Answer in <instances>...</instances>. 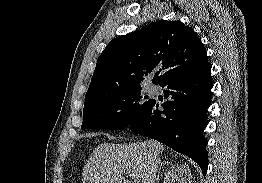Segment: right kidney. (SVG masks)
Returning <instances> with one entry per match:
<instances>
[{
	"label": "right kidney",
	"mask_w": 262,
	"mask_h": 183,
	"mask_svg": "<svg viewBox=\"0 0 262 183\" xmlns=\"http://www.w3.org/2000/svg\"><path fill=\"white\" fill-rule=\"evenodd\" d=\"M192 183V174L189 166L185 164L174 165L165 174L164 183Z\"/></svg>",
	"instance_id": "ca27d5eb"
}]
</instances>
